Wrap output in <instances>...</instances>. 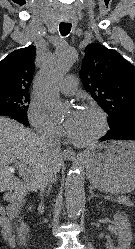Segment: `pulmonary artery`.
Listing matches in <instances>:
<instances>
[{
    "label": "pulmonary artery",
    "mask_w": 135,
    "mask_h": 249,
    "mask_svg": "<svg viewBox=\"0 0 135 249\" xmlns=\"http://www.w3.org/2000/svg\"><path fill=\"white\" fill-rule=\"evenodd\" d=\"M77 78L75 75L66 76L59 86V90L62 94L71 96L74 95L77 91Z\"/></svg>",
    "instance_id": "obj_1"
}]
</instances>
